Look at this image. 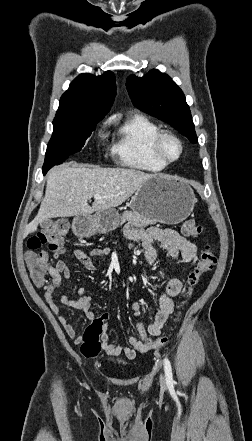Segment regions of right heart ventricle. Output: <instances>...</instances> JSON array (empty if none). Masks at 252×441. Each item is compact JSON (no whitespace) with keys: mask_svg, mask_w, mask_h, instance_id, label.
I'll return each instance as SVG.
<instances>
[{"mask_svg":"<svg viewBox=\"0 0 252 441\" xmlns=\"http://www.w3.org/2000/svg\"><path fill=\"white\" fill-rule=\"evenodd\" d=\"M159 131V126L144 115L128 116L117 127L112 154L126 167L160 172L166 165L155 159L151 151L152 140Z\"/></svg>","mask_w":252,"mask_h":441,"instance_id":"obj_1","label":"right heart ventricle"}]
</instances>
